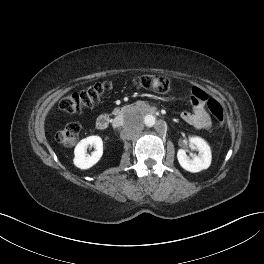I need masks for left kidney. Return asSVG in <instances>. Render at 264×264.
<instances>
[{"label": "left kidney", "instance_id": "5707ae66", "mask_svg": "<svg viewBox=\"0 0 264 264\" xmlns=\"http://www.w3.org/2000/svg\"><path fill=\"white\" fill-rule=\"evenodd\" d=\"M190 143L195 145L198 150V155L190 159L186 155L184 149H179L177 152L178 162L181 167L189 172L196 173L201 170L207 169L211 164L212 154L208 143L197 136L189 139Z\"/></svg>", "mask_w": 264, "mask_h": 264}]
</instances>
